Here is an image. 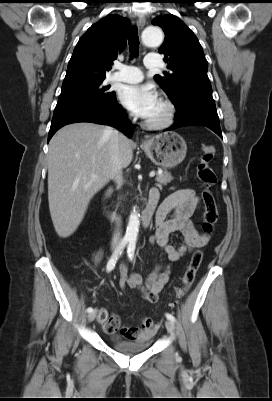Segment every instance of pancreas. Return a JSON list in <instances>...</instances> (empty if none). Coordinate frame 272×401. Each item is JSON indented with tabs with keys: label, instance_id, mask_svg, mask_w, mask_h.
<instances>
[{
	"label": "pancreas",
	"instance_id": "cf45deb5",
	"mask_svg": "<svg viewBox=\"0 0 272 401\" xmlns=\"http://www.w3.org/2000/svg\"><path fill=\"white\" fill-rule=\"evenodd\" d=\"M172 180H173V177L166 170H164L161 174H157V176H156V181H157L158 185H167Z\"/></svg>",
	"mask_w": 272,
	"mask_h": 401
}]
</instances>
